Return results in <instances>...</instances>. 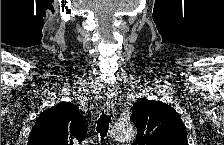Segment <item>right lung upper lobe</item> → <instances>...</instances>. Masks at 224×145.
<instances>
[{"instance_id": "right-lung-upper-lobe-1", "label": "right lung upper lobe", "mask_w": 224, "mask_h": 145, "mask_svg": "<svg viewBox=\"0 0 224 145\" xmlns=\"http://www.w3.org/2000/svg\"><path fill=\"white\" fill-rule=\"evenodd\" d=\"M87 133L77 105L62 102L43 111L32 128L28 145H76Z\"/></svg>"}]
</instances>
